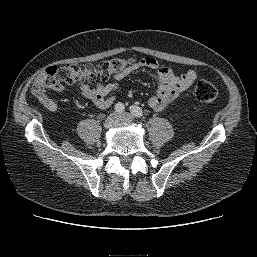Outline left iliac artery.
Masks as SVG:
<instances>
[{
  "instance_id": "obj_1",
  "label": "left iliac artery",
  "mask_w": 257,
  "mask_h": 257,
  "mask_svg": "<svg viewBox=\"0 0 257 257\" xmlns=\"http://www.w3.org/2000/svg\"><path fill=\"white\" fill-rule=\"evenodd\" d=\"M130 111H131V113H132L134 116H136V117H138V118H140V117L143 116V111H142V109H141L140 107H138V106H131V107H130Z\"/></svg>"
}]
</instances>
